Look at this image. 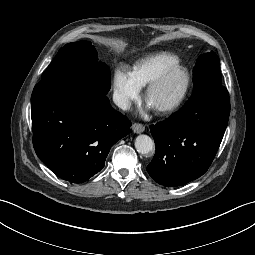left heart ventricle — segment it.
<instances>
[{
	"label": "left heart ventricle",
	"instance_id": "b2bd125f",
	"mask_svg": "<svg viewBox=\"0 0 255 255\" xmlns=\"http://www.w3.org/2000/svg\"><path fill=\"white\" fill-rule=\"evenodd\" d=\"M185 83L184 73L176 71L172 73L156 90L148 97L147 103L152 108L165 105L175 99L181 92Z\"/></svg>",
	"mask_w": 255,
	"mask_h": 255
}]
</instances>
